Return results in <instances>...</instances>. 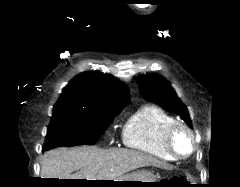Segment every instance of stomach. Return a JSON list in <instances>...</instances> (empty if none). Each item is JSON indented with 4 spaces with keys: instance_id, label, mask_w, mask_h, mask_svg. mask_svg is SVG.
Instances as JSON below:
<instances>
[{
    "instance_id": "0dacf381",
    "label": "stomach",
    "mask_w": 240,
    "mask_h": 187,
    "mask_svg": "<svg viewBox=\"0 0 240 187\" xmlns=\"http://www.w3.org/2000/svg\"><path fill=\"white\" fill-rule=\"evenodd\" d=\"M158 178L150 171L142 170L133 172L132 174L122 176L119 179L113 181L124 182H110L111 186L116 187H155L157 183H145V182H159Z\"/></svg>"
}]
</instances>
